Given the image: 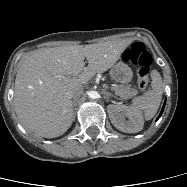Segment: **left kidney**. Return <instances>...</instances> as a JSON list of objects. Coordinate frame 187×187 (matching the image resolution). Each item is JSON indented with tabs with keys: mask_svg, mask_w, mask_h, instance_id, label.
Masks as SVG:
<instances>
[{
	"mask_svg": "<svg viewBox=\"0 0 187 187\" xmlns=\"http://www.w3.org/2000/svg\"><path fill=\"white\" fill-rule=\"evenodd\" d=\"M111 123L125 133H137L143 129V117L139 110L134 107L111 104L107 107ZM125 117L128 120H125Z\"/></svg>",
	"mask_w": 187,
	"mask_h": 187,
	"instance_id": "1",
	"label": "left kidney"
}]
</instances>
